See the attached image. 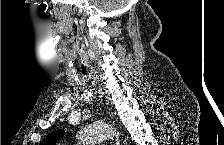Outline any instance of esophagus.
<instances>
[{"mask_svg": "<svg viewBox=\"0 0 224 145\" xmlns=\"http://www.w3.org/2000/svg\"><path fill=\"white\" fill-rule=\"evenodd\" d=\"M120 141L119 139H116V145H119Z\"/></svg>", "mask_w": 224, "mask_h": 145, "instance_id": "esophagus-1", "label": "esophagus"}]
</instances>
